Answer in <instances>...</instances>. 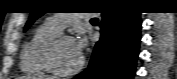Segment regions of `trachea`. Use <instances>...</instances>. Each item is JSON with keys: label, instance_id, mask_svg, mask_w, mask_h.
<instances>
[{"label": "trachea", "instance_id": "obj_1", "mask_svg": "<svg viewBox=\"0 0 177 79\" xmlns=\"http://www.w3.org/2000/svg\"><path fill=\"white\" fill-rule=\"evenodd\" d=\"M91 20H92V21H97L98 19H97V18H92Z\"/></svg>", "mask_w": 177, "mask_h": 79}]
</instances>
